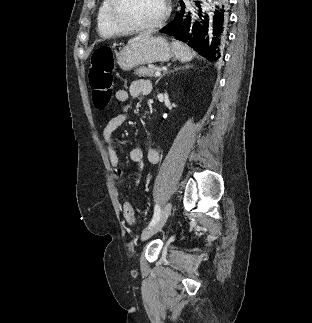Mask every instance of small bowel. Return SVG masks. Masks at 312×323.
<instances>
[{"mask_svg":"<svg viewBox=\"0 0 312 323\" xmlns=\"http://www.w3.org/2000/svg\"><path fill=\"white\" fill-rule=\"evenodd\" d=\"M152 91V84L149 80L139 78L132 81L129 88L118 89L115 92V100L119 103H126L131 97L135 98L140 95H147ZM130 118L129 112H122L112 115L102 131V138L106 145L107 157L112 165L116 167L120 164L119 156L112 144V136L114 132ZM146 158L148 162L156 164L160 159L159 151L154 147H149L146 150ZM130 159L139 167L143 166L144 150L140 147H135L130 151Z\"/></svg>","mask_w":312,"mask_h":323,"instance_id":"c3829d8e","label":"small bowel"}]
</instances>
